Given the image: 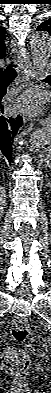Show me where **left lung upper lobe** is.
<instances>
[{
  "label": "left lung upper lobe",
  "mask_w": 51,
  "mask_h": 393,
  "mask_svg": "<svg viewBox=\"0 0 51 393\" xmlns=\"http://www.w3.org/2000/svg\"><path fill=\"white\" fill-rule=\"evenodd\" d=\"M37 31L48 32L51 35V18L38 25Z\"/></svg>",
  "instance_id": "left-lung-upper-lobe-1"
}]
</instances>
